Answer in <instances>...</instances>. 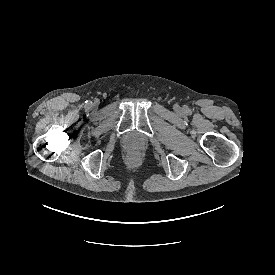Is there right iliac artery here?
<instances>
[{
	"label": "right iliac artery",
	"mask_w": 275,
	"mask_h": 275,
	"mask_svg": "<svg viewBox=\"0 0 275 275\" xmlns=\"http://www.w3.org/2000/svg\"><path fill=\"white\" fill-rule=\"evenodd\" d=\"M85 103H86V105H89V104H90V102H89V101H86Z\"/></svg>",
	"instance_id": "obj_1"
}]
</instances>
